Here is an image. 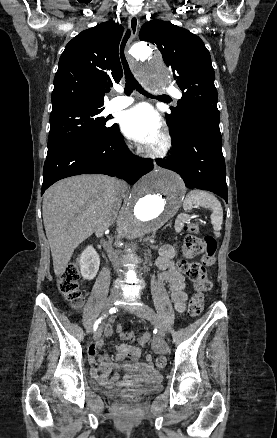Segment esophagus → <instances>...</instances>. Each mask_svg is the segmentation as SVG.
Returning a JSON list of instances; mask_svg holds the SVG:
<instances>
[{
  "label": "esophagus",
  "instance_id": "esophagus-1",
  "mask_svg": "<svg viewBox=\"0 0 277 438\" xmlns=\"http://www.w3.org/2000/svg\"><path fill=\"white\" fill-rule=\"evenodd\" d=\"M138 24H139V20H138V17L136 15L132 14V15H130L128 17V25H129V28H130V31H131V35H130V38H129L128 44H127L126 57L129 60V62H132V58H131V56L129 54L128 49L130 47L131 42L134 40V38L137 35Z\"/></svg>",
  "mask_w": 277,
  "mask_h": 438
}]
</instances>
